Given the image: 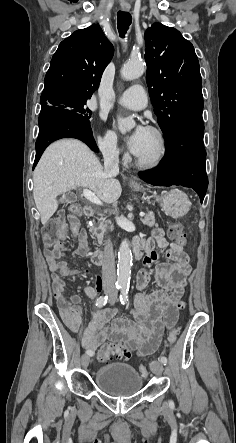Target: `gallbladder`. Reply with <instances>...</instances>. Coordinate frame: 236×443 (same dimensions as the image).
<instances>
[{
    "instance_id": "1",
    "label": "gallbladder",
    "mask_w": 236,
    "mask_h": 443,
    "mask_svg": "<svg viewBox=\"0 0 236 443\" xmlns=\"http://www.w3.org/2000/svg\"><path fill=\"white\" fill-rule=\"evenodd\" d=\"M61 203H74L77 201V195L73 192H67L60 197Z\"/></svg>"
}]
</instances>
